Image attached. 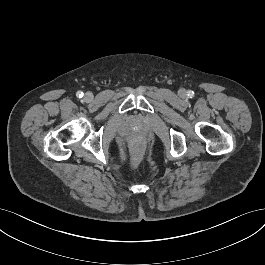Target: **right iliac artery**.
<instances>
[{"instance_id": "82829eb1", "label": "right iliac artery", "mask_w": 265, "mask_h": 265, "mask_svg": "<svg viewBox=\"0 0 265 265\" xmlns=\"http://www.w3.org/2000/svg\"><path fill=\"white\" fill-rule=\"evenodd\" d=\"M76 96L79 97V98H82V97H83V92L78 91V92L76 93Z\"/></svg>"}]
</instances>
